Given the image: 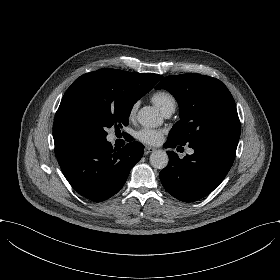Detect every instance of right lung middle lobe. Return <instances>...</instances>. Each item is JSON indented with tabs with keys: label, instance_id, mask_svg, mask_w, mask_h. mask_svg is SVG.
<instances>
[{
	"label": "right lung middle lobe",
	"instance_id": "1",
	"mask_svg": "<svg viewBox=\"0 0 280 280\" xmlns=\"http://www.w3.org/2000/svg\"><path fill=\"white\" fill-rule=\"evenodd\" d=\"M109 74H97L86 82L73 86L71 93L75 103L68 114L72 125L83 133L88 141L106 140V129H115L129 124V115L134 104L112 91Z\"/></svg>",
	"mask_w": 280,
	"mask_h": 280
}]
</instances>
